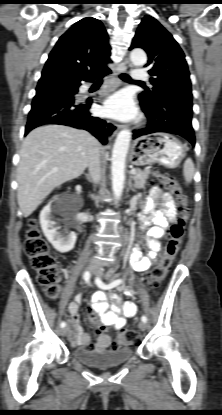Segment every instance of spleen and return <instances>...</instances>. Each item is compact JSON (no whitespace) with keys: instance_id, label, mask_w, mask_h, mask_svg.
<instances>
[{"instance_id":"3e777b00","label":"spleen","mask_w":222,"mask_h":415,"mask_svg":"<svg viewBox=\"0 0 222 415\" xmlns=\"http://www.w3.org/2000/svg\"><path fill=\"white\" fill-rule=\"evenodd\" d=\"M194 174H195L194 164L192 160L188 158L184 163V169H183V175H184L186 184H189L192 181Z\"/></svg>"}]
</instances>
